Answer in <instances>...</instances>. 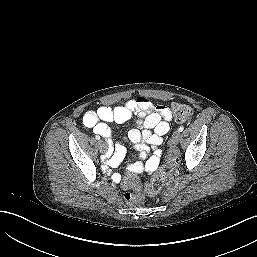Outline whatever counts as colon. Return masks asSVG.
<instances>
[{"instance_id":"5ec220e1","label":"colon","mask_w":257,"mask_h":257,"mask_svg":"<svg viewBox=\"0 0 257 257\" xmlns=\"http://www.w3.org/2000/svg\"><path fill=\"white\" fill-rule=\"evenodd\" d=\"M172 113L177 122L184 123L189 122L192 119L194 110L189 105L174 103L172 105ZM177 164L178 158L170 153L165 165L160 168L144 188L140 185H135V178L132 175H127L124 178V183L128 186L135 185V194L127 193L125 196L126 200L140 202L143 198L144 191L148 194L158 193L163 188L165 180L172 173Z\"/></svg>"}]
</instances>
